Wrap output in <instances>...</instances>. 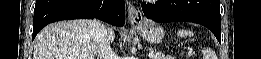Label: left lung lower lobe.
Returning <instances> with one entry per match:
<instances>
[{
    "label": "left lung lower lobe",
    "mask_w": 261,
    "mask_h": 59,
    "mask_svg": "<svg viewBox=\"0 0 261 59\" xmlns=\"http://www.w3.org/2000/svg\"><path fill=\"white\" fill-rule=\"evenodd\" d=\"M144 15L156 22L187 21L199 23L212 31L221 43L219 0H160L141 5Z\"/></svg>",
    "instance_id": "left-lung-lower-lobe-1"
}]
</instances>
